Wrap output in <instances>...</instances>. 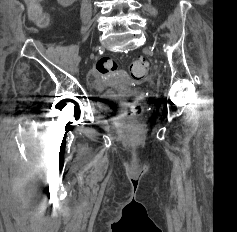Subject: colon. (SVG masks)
I'll use <instances>...</instances> for the list:
<instances>
[{"label": "colon", "mask_w": 237, "mask_h": 232, "mask_svg": "<svg viewBox=\"0 0 237 232\" xmlns=\"http://www.w3.org/2000/svg\"><path fill=\"white\" fill-rule=\"evenodd\" d=\"M28 6L29 19L39 27H46L49 24V16L44 12L42 0H24ZM149 63L144 59H138L130 65V75L133 79L140 80L147 76ZM96 70L101 75L113 73L117 70V63L114 59L103 57L96 63ZM140 106L137 100L131 101V108L126 116V121L136 124L140 118Z\"/></svg>", "instance_id": "1"}]
</instances>
